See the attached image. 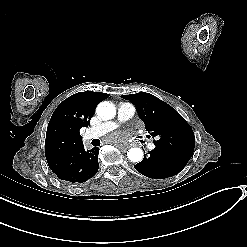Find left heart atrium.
I'll list each match as a JSON object with an SVG mask.
<instances>
[{"label":"left heart atrium","instance_id":"obj_1","mask_svg":"<svg viewBox=\"0 0 247 247\" xmlns=\"http://www.w3.org/2000/svg\"><path fill=\"white\" fill-rule=\"evenodd\" d=\"M131 135H132L131 131L120 129L114 133L104 135L103 142L109 143V144H115V145L126 144L131 138Z\"/></svg>","mask_w":247,"mask_h":247}]
</instances>
